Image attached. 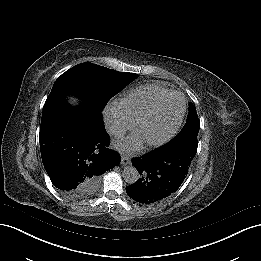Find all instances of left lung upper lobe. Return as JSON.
Instances as JSON below:
<instances>
[{"label":"left lung upper lobe","instance_id":"5c2ea615","mask_svg":"<svg viewBox=\"0 0 261 261\" xmlns=\"http://www.w3.org/2000/svg\"><path fill=\"white\" fill-rule=\"evenodd\" d=\"M200 129V122L197 117V112L195 106L189 104V114L187 116V121L178 136L171 141V144L181 143L189 146L193 150L197 149V135Z\"/></svg>","mask_w":261,"mask_h":261}]
</instances>
